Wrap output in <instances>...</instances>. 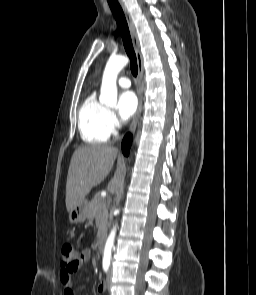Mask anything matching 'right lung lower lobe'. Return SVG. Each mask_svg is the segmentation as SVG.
<instances>
[{"label":"right lung lower lobe","instance_id":"98d812e1","mask_svg":"<svg viewBox=\"0 0 256 295\" xmlns=\"http://www.w3.org/2000/svg\"><path fill=\"white\" fill-rule=\"evenodd\" d=\"M132 136L128 133L122 141V151L125 156H128L131 146Z\"/></svg>","mask_w":256,"mask_h":295}]
</instances>
